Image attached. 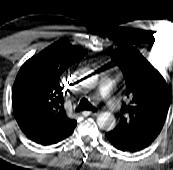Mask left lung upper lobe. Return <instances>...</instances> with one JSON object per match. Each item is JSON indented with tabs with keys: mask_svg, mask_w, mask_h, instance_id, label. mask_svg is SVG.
<instances>
[{
	"mask_svg": "<svg viewBox=\"0 0 173 170\" xmlns=\"http://www.w3.org/2000/svg\"><path fill=\"white\" fill-rule=\"evenodd\" d=\"M111 58L123 72L129 102L121 108L119 124L108 134L131 148L142 150L163 128L170 89L162 75L134 47H119Z\"/></svg>",
	"mask_w": 173,
	"mask_h": 170,
	"instance_id": "obj_1",
	"label": "left lung upper lobe"
}]
</instances>
